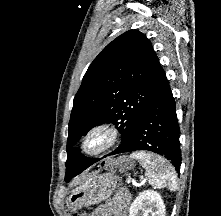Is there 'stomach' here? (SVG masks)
<instances>
[{
	"label": "stomach",
	"instance_id": "stomach-1",
	"mask_svg": "<svg viewBox=\"0 0 221 216\" xmlns=\"http://www.w3.org/2000/svg\"><path fill=\"white\" fill-rule=\"evenodd\" d=\"M117 177L111 173L87 175L81 185L71 191L68 198L69 209L76 212L83 206L101 203L108 199L116 189Z\"/></svg>",
	"mask_w": 221,
	"mask_h": 216
}]
</instances>
